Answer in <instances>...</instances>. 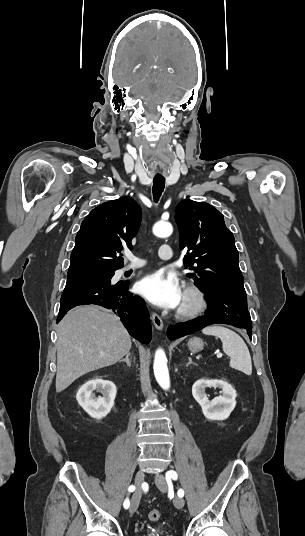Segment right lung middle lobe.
<instances>
[{
    "label": "right lung middle lobe",
    "instance_id": "right-lung-middle-lobe-1",
    "mask_svg": "<svg viewBox=\"0 0 305 536\" xmlns=\"http://www.w3.org/2000/svg\"><path fill=\"white\" fill-rule=\"evenodd\" d=\"M114 272L115 270L67 278V284L88 282V283H96V284H103V285H111V278L113 277Z\"/></svg>",
    "mask_w": 305,
    "mask_h": 536
}]
</instances>
